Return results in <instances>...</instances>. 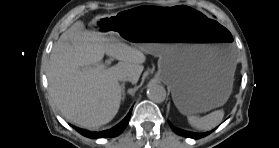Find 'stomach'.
Segmentation results:
<instances>
[{"instance_id":"stomach-1","label":"stomach","mask_w":279,"mask_h":148,"mask_svg":"<svg viewBox=\"0 0 279 148\" xmlns=\"http://www.w3.org/2000/svg\"><path fill=\"white\" fill-rule=\"evenodd\" d=\"M103 19V18H102ZM110 32L159 57L157 78L167 84L185 115L223 105L234 81L233 36L204 12L184 7L136 5L103 20Z\"/></svg>"}]
</instances>
